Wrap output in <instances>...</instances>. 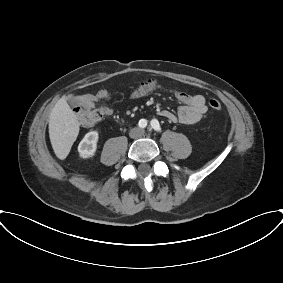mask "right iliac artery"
Returning a JSON list of instances; mask_svg holds the SVG:
<instances>
[{
    "mask_svg": "<svg viewBox=\"0 0 283 283\" xmlns=\"http://www.w3.org/2000/svg\"><path fill=\"white\" fill-rule=\"evenodd\" d=\"M147 126V121L145 119H141L139 121V127L145 128Z\"/></svg>",
    "mask_w": 283,
    "mask_h": 283,
    "instance_id": "1",
    "label": "right iliac artery"
}]
</instances>
